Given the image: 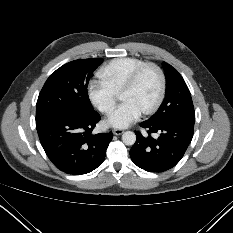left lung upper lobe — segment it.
<instances>
[{"label":"left lung upper lobe","mask_w":233,"mask_h":233,"mask_svg":"<svg viewBox=\"0 0 233 233\" xmlns=\"http://www.w3.org/2000/svg\"><path fill=\"white\" fill-rule=\"evenodd\" d=\"M166 76V96L159 110L148 119L153 124L174 120L195 121L194 106L190 91L178 71L163 62Z\"/></svg>","instance_id":"obj_1"}]
</instances>
